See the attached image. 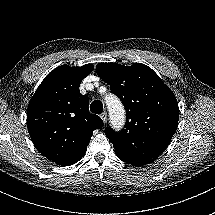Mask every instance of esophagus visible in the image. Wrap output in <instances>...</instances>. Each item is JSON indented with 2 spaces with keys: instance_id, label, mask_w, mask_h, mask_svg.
Wrapping results in <instances>:
<instances>
[{
  "instance_id": "34e87169",
  "label": "esophagus",
  "mask_w": 215,
  "mask_h": 215,
  "mask_svg": "<svg viewBox=\"0 0 215 215\" xmlns=\"http://www.w3.org/2000/svg\"><path fill=\"white\" fill-rule=\"evenodd\" d=\"M100 118L103 120L104 123H106L107 121V112H103L101 115H100Z\"/></svg>"
}]
</instances>
